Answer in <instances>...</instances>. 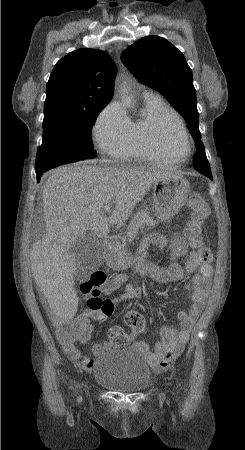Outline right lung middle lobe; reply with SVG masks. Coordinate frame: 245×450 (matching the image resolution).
I'll use <instances>...</instances> for the list:
<instances>
[{"mask_svg":"<svg viewBox=\"0 0 245 450\" xmlns=\"http://www.w3.org/2000/svg\"><path fill=\"white\" fill-rule=\"evenodd\" d=\"M106 105L100 104L91 110H45L43 140L37 152L35 171H47L61 164L95 158L91 127Z\"/></svg>","mask_w":245,"mask_h":450,"instance_id":"obj_1","label":"right lung middle lobe"}]
</instances>
